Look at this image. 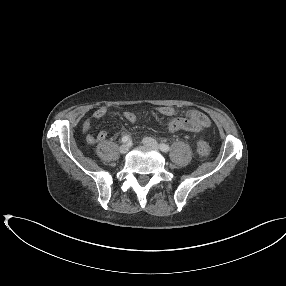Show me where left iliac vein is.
<instances>
[{"instance_id":"4c4485c4","label":"left iliac vein","mask_w":286,"mask_h":286,"mask_svg":"<svg viewBox=\"0 0 286 286\" xmlns=\"http://www.w3.org/2000/svg\"><path fill=\"white\" fill-rule=\"evenodd\" d=\"M143 143H144V145L147 146V147H151V148L156 149V150L159 149L158 143L156 142L155 139H153V138H151V137H146V138H144Z\"/></svg>"}]
</instances>
